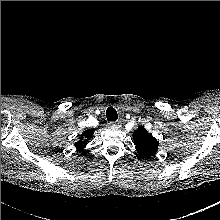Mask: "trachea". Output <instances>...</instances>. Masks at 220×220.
Segmentation results:
<instances>
[{
    "label": "trachea",
    "instance_id": "obj_1",
    "mask_svg": "<svg viewBox=\"0 0 220 220\" xmlns=\"http://www.w3.org/2000/svg\"><path fill=\"white\" fill-rule=\"evenodd\" d=\"M106 117L108 121H116L118 119V114L115 108L108 107L106 110Z\"/></svg>",
    "mask_w": 220,
    "mask_h": 220
}]
</instances>
